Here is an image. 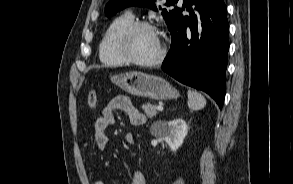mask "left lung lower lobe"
Returning <instances> with one entry per match:
<instances>
[{
  "label": "left lung lower lobe",
  "instance_id": "obj_1",
  "mask_svg": "<svg viewBox=\"0 0 293 184\" xmlns=\"http://www.w3.org/2000/svg\"><path fill=\"white\" fill-rule=\"evenodd\" d=\"M169 30L172 44L162 70L181 83L206 92L221 108L229 49L224 1L183 0V7L175 9Z\"/></svg>",
  "mask_w": 293,
  "mask_h": 184
}]
</instances>
